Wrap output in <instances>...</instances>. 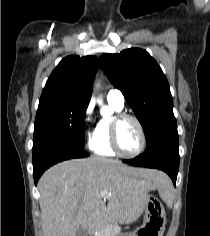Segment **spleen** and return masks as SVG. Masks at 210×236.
I'll use <instances>...</instances> for the list:
<instances>
[{
  "label": "spleen",
  "mask_w": 210,
  "mask_h": 236,
  "mask_svg": "<svg viewBox=\"0 0 210 236\" xmlns=\"http://www.w3.org/2000/svg\"><path fill=\"white\" fill-rule=\"evenodd\" d=\"M170 191H171V183L169 186H167L166 188V195H169L170 194Z\"/></svg>",
  "instance_id": "1"
}]
</instances>
